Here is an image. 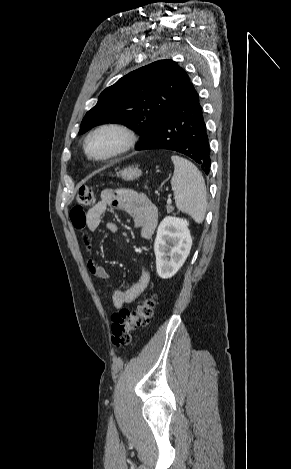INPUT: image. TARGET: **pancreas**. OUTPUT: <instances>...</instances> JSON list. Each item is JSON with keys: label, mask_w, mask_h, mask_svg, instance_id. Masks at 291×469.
<instances>
[{"label": "pancreas", "mask_w": 291, "mask_h": 469, "mask_svg": "<svg viewBox=\"0 0 291 469\" xmlns=\"http://www.w3.org/2000/svg\"><path fill=\"white\" fill-rule=\"evenodd\" d=\"M166 208H167V212H171L173 210V207L170 205H167Z\"/></svg>", "instance_id": "pancreas-1"}]
</instances>
